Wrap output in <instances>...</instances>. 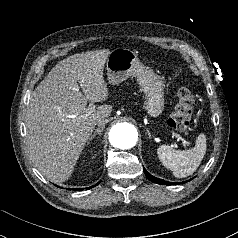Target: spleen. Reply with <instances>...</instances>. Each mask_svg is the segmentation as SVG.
Returning <instances> with one entry per match:
<instances>
[{
    "instance_id": "1",
    "label": "spleen",
    "mask_w": 238,
    "mask_h": 238,
    "mask_svg": "<svg viewBox=\"0 0 238 238\" xmlns=\"http://www.w3.org/2000/svg\"><path fill=\"white\" fill-rule=\"evenodd\" d=\"M205 153L206 135L204 133L197 136L196 145L191 150H174L168 145H161L157 149V155L162 165L179 178L193 174L199 167Z\"/></svg>"
}]
</instances>
